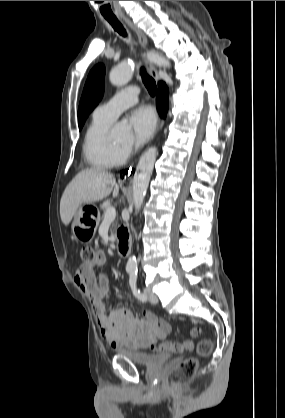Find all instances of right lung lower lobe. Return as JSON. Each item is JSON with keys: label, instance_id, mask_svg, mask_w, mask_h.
<instances>
[{"label": "right lung lower lobe", "instance_id": "obj_1", "mask_svg": "<svg viewBox=\"0 0 285 418\" xmlns=\"http://www.w3.org/2000/svg\"><path fill=\"white\" fill-rule=\"evenodd\" d=\"M159 91L156 98L158 111L161 117L165 118L168 111V88L163 82L158 84Z\"/></svg>", "mask_w": 285, "mask_h": 418}]
</instances>
